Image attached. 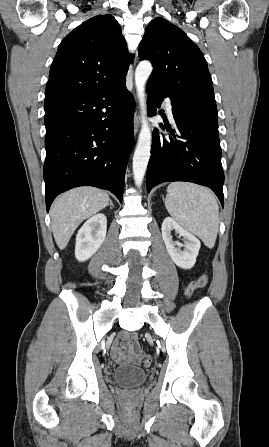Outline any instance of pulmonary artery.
<instances>
[{"mask_svg":"<svg viewBox=\"0 0 269 447\" xmlns=\"http://www.w3.org/2000/svg\"><path fill=\"white\" fill-rule=\"evenodd\" d=\"M164 107H165V109H166V111L168 113V116H169L170 120L173 121L172 105H171V102H170L169 98L165 99Z\"/></svg>","mask_w":269,"mask_h":447,"instance_id":"obj_1","label":"pulmonary artery"}]
</instances>
